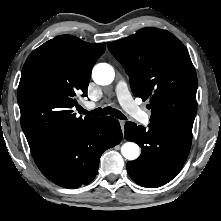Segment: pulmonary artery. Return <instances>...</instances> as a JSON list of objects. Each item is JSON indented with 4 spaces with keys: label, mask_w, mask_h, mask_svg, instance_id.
Instances as JSON below:
<instances>
[{
    "label": "pulmonary artery",
    "mask_w": 221,
    "mask_h": 221,
    "mask_svg": "<svg viewBox=\"0 0 221 221\" xmlns=\"http://www.w3.org/2000/svg\"><path fill=\"white\" fill-rule=\"evenodd\" d=\"M115 92L119 103L130 115H132L137 121L143 124H148L149 115L134 102L125 81L120 80L117 83ZM94 106L95 103L93 102L87 104L88 108H93Z\"/></svg>",
    "instance_id": "pulmonary-artery-1"
}]
</instances>
